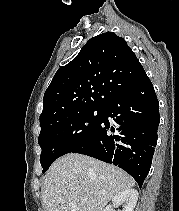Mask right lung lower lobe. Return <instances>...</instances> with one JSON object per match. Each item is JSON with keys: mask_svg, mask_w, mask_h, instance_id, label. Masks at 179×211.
<instances>
[{"mask_svg": "<svg viewBox=\"0 0 179 211\" xmlns=\"http://www.w3.org/2000/svg\"><path fill=\"white\" fill-rule=\"evenodd\" d=\"M159 121V102L145 73L106 105L98 129L72 153L114 164L141 187L151 167Z\"/></svg>", "mask_w": 179, "mask_h": 211, "instance_id": "right-lung-lower-lobe-1", "label": "right lung lower lobe"}]
</instances>
